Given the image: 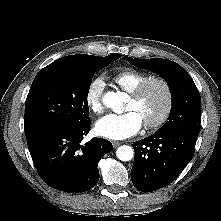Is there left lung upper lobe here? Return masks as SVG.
<instances>
[{"mask_svg": "<svg viewBox=\"0 0 221 221\" xmlns=\"http://www.w3.org/2000/svg\"><path fill=\"white\" fill-rule=\"evenodd\" d=\"M129 63L160 74L168 81L172 94L169 121L158 131L188 130L199 132L201 122V97L191 76L177 63L168 59H133Z\"/></svg>", "mask_w": 221, "mask_h": 221, "instance_id": "5c2ea615", "label": "left lung upper lobe"}]
</instances>
